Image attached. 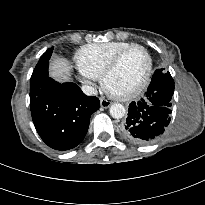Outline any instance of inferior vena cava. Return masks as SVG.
<instances>
[{
    "label": "inferior vena cava",
    "mask_w": 205,
    "mask_h": 205,
    "mask_svg": "<svg viewBox=\"0 0 205 205\" xmlns=\"http://www.w3.org/2000/svg\"><path fill=\"white\" fill-rule=\"evenodd\" d=\"M81 89H82L83 93L88 95V96L97 95V89L95 87L90 86V85H83L81 87Z\"/></svg>",
    "instance_id": "602c4592"
}]
</instances>
